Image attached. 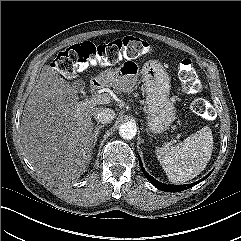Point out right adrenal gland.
I'll return each mask as SVG.
<instances>
[{
  "mask_svg": "<svg viewBox=\"0 0 241 241\" xmlns=\"http://www.w3.org/2000/svg\"><path fill=\"white\" fill-rule=\"evenodd\" d=\"M103 127H104V125H96L94 127V142H93V146H95V144L97 142L98 134L100 133V129H102Z\"/></svg>",
  "mask_w": 241,
  "mask_h": 241,
  "instance_id": "right-adrenal-gland-1",
  "label": "right adrenal gland"
}]
</instances>
